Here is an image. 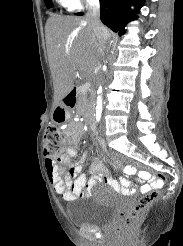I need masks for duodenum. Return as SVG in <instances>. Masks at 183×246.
<instances>
[{
	"mask_svg": "<svg viewBox=\"0 0 183 246\" xmlns=\"http://www.w3.org/2000/svg\"><path fill=\"white\" fill-rule=\"evenodd\" d=\"M82 86H74L68 94L64 97V102L66 104V109H73L77 106L80 93L82 92ZM103 136H98L96 139V144H98L99 148H107V143H103L104 141Z\"/></svg>",
	"mask_w": 183,
	"mask_h": 246,
	"instance_id": "duodenum-1",
	"label": "duodenum"
}]
</instances>
